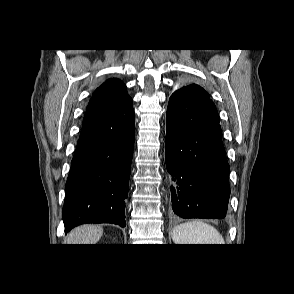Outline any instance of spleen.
<instances>
[{"mask_svg":"<svg viewBox=\"0 0 294 294\" xmlns=\"http://www.w3.org/2000/svg\"><path fill=\"white\" fill-rule=\"evenodd\" d=\"M172 239L175 244H225L218 230L201 220L177 225L173 228Z\"/></svg>","mask_w":294,"mask_h":294,"instance_id":"spleen-1","label":"spleen"}]
</instances>
